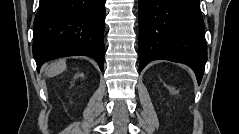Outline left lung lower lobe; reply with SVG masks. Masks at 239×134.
I'll list each match as a JSON object with an SVG mask.
<instances>
[{
  "mask_svg": "<svg viewBox=\"0 0 239 134\" xmlns=\"http://www.w3.org/2000/svg\"><path fill=\"white\" fill-rule=\"evenodd\" d=\"M139 71L165 59L190 66L201 82L207 47L199 0H139Z\"/></svg>",
  "mask_w": 239,
  "mask_h": 134,
  "instance_id": "obj_1",
  "label": "left lung lower lobe"
}]
</instances>
